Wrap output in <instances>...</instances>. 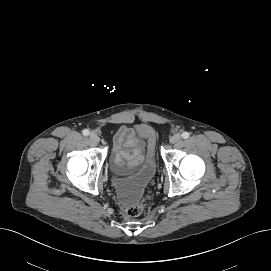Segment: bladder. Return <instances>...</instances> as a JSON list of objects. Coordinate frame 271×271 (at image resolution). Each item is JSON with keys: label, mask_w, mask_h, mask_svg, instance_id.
Listing matches in <instances>:
<instances>
[{"label": "bladder", "mask_w": 271, "mask_h": 271, "mask_svg": "<svg viewBox=\"0 0 271 271\" xmlns=\"http://www.w3.org/2000/svg\"><path fill=\"white\" fill-rule=\"evenodd\" d=\"M116 170V169H115ZM156 174V158L153 144H150L141 165L127 177L120 178L116 173L112 178V187L117 199L124 205L137 202Z\"/></svg>", "instance_id": "bladder-1"}]
</instances>
